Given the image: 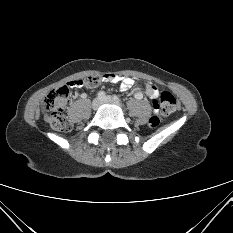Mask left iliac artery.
<instances>
[{"instance_id":"obj_1","label":"left iliac artery","mask_w":233,"mask_h":233,"mask_svg":"<svg viewBox=\"0 0 233 233\" xmlns=\"http://www.w3.org/2000/svg\"><path fill=\"white\" fill-rule=\"evenodd\" d=\"M113 100H114L116 103H120V102H121L120 98H119L118 96H116V95L113 96Z\"/></svg>"}]
</instances>
